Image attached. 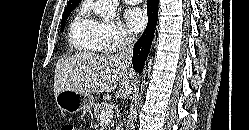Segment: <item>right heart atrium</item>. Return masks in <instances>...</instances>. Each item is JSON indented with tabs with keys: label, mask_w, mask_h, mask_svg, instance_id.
<instances>
[{
	"label": "right heart atrium",
	"mask_w": 249,
	"mask_h": 130,
	"mask_svg": "<svg viewBox=\"0 0 249 130\" xmlns=\"http://www.w3.org/2000/svg\"><path fill=\"white\" fill-rule=\"evenodd\" d=\"M104 51L114 53L131 46L133 35L118 21L99 23Z\"/></svg>",
	"instance_id": "d8ad5b80"
}]
</instances>
